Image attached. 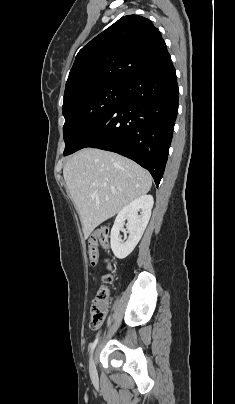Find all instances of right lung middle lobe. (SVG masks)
<instances>
[{
  "label": "right lung middle lobe",
  "instance_id": "right-lung-middle-lobe-1",
  "mask_svg": "<svg viewBox=\"0 0 235 404\" xmlns=\"http://www.w3.org/2000/svg\"><path fill=\"white\" fill-rule=\"evenodd\" d=\"M124 84H105L63 103L64 155L71 154L85 134L120 102Z\"/></svg>",
  "mask_w": 235,
  "mask_h": 404
}]
</instances>
